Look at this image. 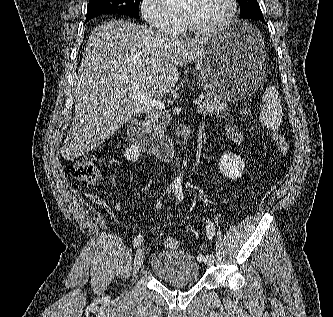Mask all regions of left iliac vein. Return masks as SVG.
Here are the masks:
<instances>
[{
	"mask_svg": "<svg viewBox=\"0 0 333 317\" xmlns=\"http://www.w3.org/2000/svg\"><path fill=\"white\" fill-rule=\"evenodd\" d=\"M214 263V257L213 255H208L207 258L205 259V264L210 266Z\"/></svg>",
	"mask_w": 333,
	"mask_h": 317,
	"instance_id": "4c4485c4",
	"label": "left iliac vein"
}]
</instances>
